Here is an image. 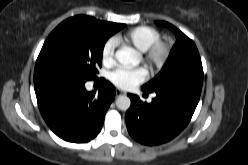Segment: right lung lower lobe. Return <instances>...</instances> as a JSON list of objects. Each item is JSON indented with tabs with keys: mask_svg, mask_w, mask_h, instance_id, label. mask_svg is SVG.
<instances>
[{
	"mask_svg": "<svg viewBox=\"0 0 248 165\" xmlns=\"http://www.w3.org/2000/svg\"><path fill=\"white\" fill-rule=\"evenodd\" d=\"M99 92H88L84 83L50 78L35 84L40 112L51 130L63 140L88 142L100 132L105 113L116 94L105 79Z\"/></svg>",
	"mask_w": 248,
	"mask_h": 165,
	"instance_id": "98d812e1",
	"label": "right lung lower lobe"
}]
</instances>
